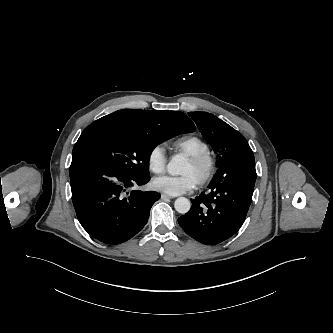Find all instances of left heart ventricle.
Returning <instances> with one entry per match:
<instances>
[{
    "mask_svg": "<svg viewBox=\"0 0 333 333\" xmlns=\"http://www.w3.org/2000/svg\"><path fill=\"white\" fill-rule=\"evenodd\" d=\"M180 173L189 174L193 176L196 181H198L201 176V170L194 166L192 163H190L188 160L184 163L183 167L180 170Z\"/></svg>",
    "mask_w": 333,
    "mask_h": 333,
    "instance_id": "left-heart-ventricle-1",
    "label": "left heart ventricle"
}]
</instances>
